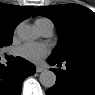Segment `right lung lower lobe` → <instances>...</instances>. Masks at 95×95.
Wrapping results in <instances>:
<instances>
[{"instance_id":"right-lung-lower-lobe-1","label":"right lung lower lobe","mask_w":95,"mask_h":95,"mask_svg":"<svg viewBox=\"0 0 95 95\" xmlns=\"http://www.w3.org/2000/svg\"><path fill=\"white\" fill-rule=\"evenodd\" d=\"M35 71L33 64L20 57L15 59L10 68L0 65V95H20L24 79Z\"/></svg>"}]
</instances>
